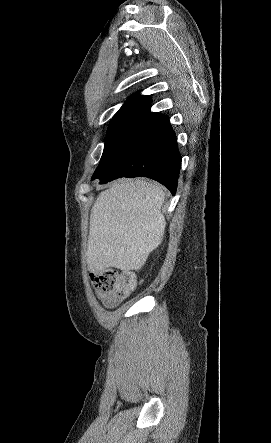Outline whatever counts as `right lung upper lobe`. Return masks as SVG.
Here are the masks:
<instances>
[{
	"mask_svg": "<svg viewBox=\"0 0 271 443\" xmlns=\"http://www.w3.org/2000/svg\"><path fill=\"white\" fill-rule=\"evenodd\" d=\"M150 97L149 96H142L139 94H134L130 98H128L126 103H147L149 104Z\"/></svg>",
	"mask_w": 271,
	"mask_h": 443,
	"instance_id": "obj_1",
	"label": "right lung upper lobe"
}]
</instances>
